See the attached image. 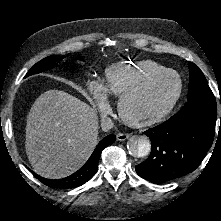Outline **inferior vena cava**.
Returning <instances> with one entry per match:
<instances>
[{
	"instance_id": "obj_1",
	"label": "inferior vena cava",
	"mask_w": 221,
	"mask_h": 221,
	"mask_svg": "<svg viewBox=\"0 0 221 221\" xmlns=\"http://www.w3.org/2000/svg\"><path fill=\"white\" fill-rule=\"evenodd\" d=\"M114 126L112 120L109 117H104L101 120V128L103 131H108Z\"/></svg>"
}]
</instances>
